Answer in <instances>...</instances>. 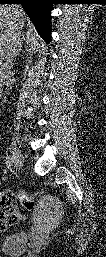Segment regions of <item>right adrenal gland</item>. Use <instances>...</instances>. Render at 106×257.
<instances>
[{"instance_id": "1", "label": "right adrenal gland", "mask_w": 106, "mask_h": 257, "mask_svg": "<svg viewBox=\"0 0 106 257\" xmlns=\"http://www.w3.org/2000/svg\"><path fill=\"white\" fill-rule=\"evenodd\" d=\"M23 39H24V36L22 37V39H21V41H20V43H19V45H18V49H17V51H16L15 57H16V56L19 54V52L22 50Z\"/></svg>"}]
</instances>
